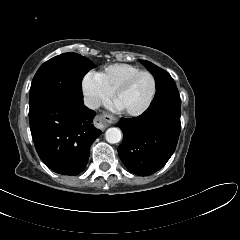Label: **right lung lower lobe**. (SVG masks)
Listing matches in <instances>:
<instances>
[{
    "mask_svg": "<svg viewBox=\"0 0 240 240\" xmlns=\"http://www.w3.org/2000/svg\"><path fill=\"white\" fill-rule=\"evenodd\" d=\"M95 112L83 98L55 97L30 109V129L36 151L52 171L78 175L86 167L90 146L101 134Z\"/></svg>",
    "mask_w": 240,
    "mask_h": 240,
    "instance_id": "obj_1",
    "label": "right lung lower lobe"
}]
</instances>
